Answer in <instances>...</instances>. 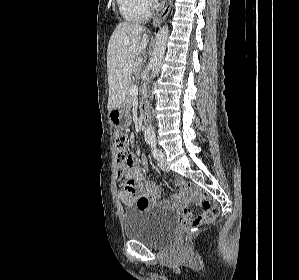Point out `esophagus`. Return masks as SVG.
I'll return each mask as SVG.
<instances>
[{"label":"esophagus","mask_w":299,"mask_h":280,"mask_svg":"<svg viewBox=\"0 0 299 280\" xmlns=\"http://www.w3.org/2000/svg\"><path fill=\"white\" fill-rule=\"evenodd\" d=\"M173 0H168L166 6L161 11V13L153 20V26L156 27L163 19L167 17L170 12Z\"/></svg>","instance_id":"esophagus-1"}]
</instances>
